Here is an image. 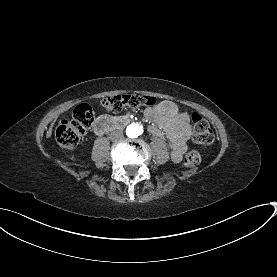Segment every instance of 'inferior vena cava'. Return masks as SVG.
<instances>
[{"label": "inferior vena cava", "mask_w": 277, "mask_h": 277, "mask_svg": "<svg viewBox=\"0 0 277 277\" xmlns=\"http://www.w3.org/2000/svg\"><path fill=\"white\" fill-rule=\"evenodd\" d=\"M110 139L112 141L121 140V139H123V133L121 131H119V130H115V131L111 132Z\"/></svg>", "instance_id": "obj_1"}]
</instances>
